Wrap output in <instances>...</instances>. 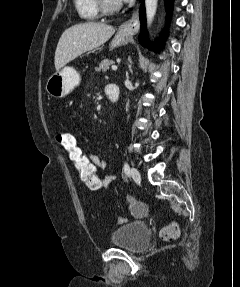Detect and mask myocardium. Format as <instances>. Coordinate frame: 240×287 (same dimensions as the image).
I'll return each instance as SVG.
<instances>
[{"mask_svg":"<svg viewBox=\"0 0 240 287\" xmlns=\"http://www.w3.org/2000/svg\"><path fill=\"white\" fill-rule=\"evenodd\" d=\"M98 9L104 14H111L118 11L121 4L118 2L110 3L108 0H96Z\"/></svg>","mask_w":240,"mask_h":287,"instance_id":"1","label":"myocardium"}]
</instances>
